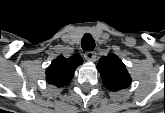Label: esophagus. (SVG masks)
I'll return each mask as SVG.
<instances>
[{
  "label": "esophagus",
  "instance_id": "1",
  "mask_svg": "<svg viewBox=\"0 0 165 113\" xmlns=\"http://www.w3.org/2000/svg\"><path fill=\"white\" fill-rule=\"evenodd\" d=\"M84 57H85V59H87V60L93 61V60H95L96 54H95V52H93V51H86V52L84 53Z\"/></svg>",
  "mask_w": 165,
  "mask_h": 113
}]
</instances>
